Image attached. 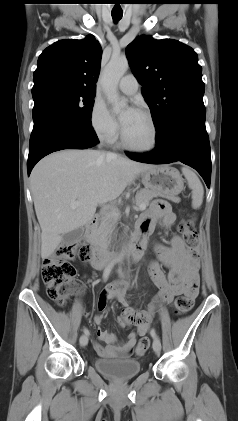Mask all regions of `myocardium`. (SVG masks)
I'll list each match as a JSON object with an SVG mask.
<instances>
[{"instance_id":"myocardium-1","label":"myocardium","mask_w":238,"mask_h":421,"mask_svg":"<svg viewBox=\"0 0 238 421\" xmlns=\"http://www.w3.org/2000/svg\"><path fill=\"white\" fill-rule=\"evenodd\" d=\"M136 112L142 114L144 117L147 118V120L150 123L151 129H152V140L151 143L148 146L145 147H138L135 146L133 144H131L128 139L125 136L124 130H123V126L121 127V143L122 145L132 151V152H136V153H149L152 152L153 150L156 149L157 145H158V127L156 124V121L154 119V117L152 116V114L145 110V109H138Z\"/></svg>"}]
</instances>
